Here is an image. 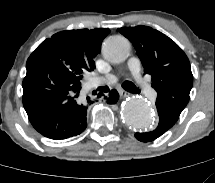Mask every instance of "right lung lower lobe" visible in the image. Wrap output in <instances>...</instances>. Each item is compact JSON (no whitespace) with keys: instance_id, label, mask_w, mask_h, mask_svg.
<instances>
[{"instance_id":"1","label":"right lung lower lobe","mask_w":215,"mask_h":183,"mask_svg":"<svg viewBox=\"0 0 215 183\" xmlns=\"http://www.w3.org/2000/svg\"><path fill=\"white\" fill-rule=\"evenodd\" d=\"M26 68L22 103L33 128L53 140L80 135L87 127L81 81H72L65 70L47 69L36 56H29ZM105 99L109 104H117L119 94L111 90ZM86 101L90 103L91 98L87 96Z\"/></svg>"}]
</instances>
